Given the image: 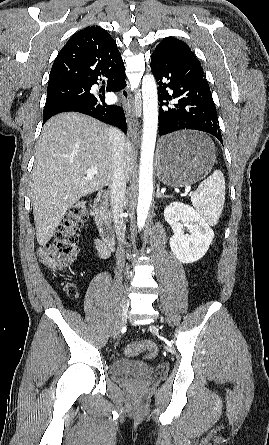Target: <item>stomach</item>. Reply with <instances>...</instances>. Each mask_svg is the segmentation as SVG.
<instances>
[{
  "label": "stomach",
  "instance_id": "0dacf381",
  "mask_svg": "<svg viewBox=\"0 0 269 445\" xmlns=\"http://www.w3.org/2000/svg\"><path fill=\"white\" fill-rule=\"evenodd\" d=\"M215 159V146L205 135L195 131L176 132L161 142L157 175L167 186L185 187L206 176Z\"/></svg>",
  "mask_w": 269,
  "mask_h": 445
}]
</instances>
